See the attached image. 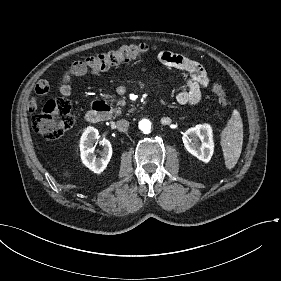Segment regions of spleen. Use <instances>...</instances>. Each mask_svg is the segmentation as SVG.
<instances>
[{"label": "spleen", "mask_w": 281, "mask_h": 281, "mask_svg": "<svg viewBox=\"0 0 281 281\" xmlns=\"http://www.w3.org/2000/svg\"><path fill=\"white\" fill-rule=\"evenodd\" d=\"M243 122L238 109L233 108L227 125L220 133V146L227 169L232 170L237 164L243 146Z\"/></svg>", "instance_id": "obj_1"}]
</instances>
